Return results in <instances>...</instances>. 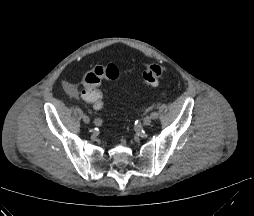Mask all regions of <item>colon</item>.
Listing matches in <instances>:
<instances>
[{"label":"colon","mask_w":254,"mask_h":216,"mask_svg":"<svg viewBox=\"0 0 254 216\" xmlns=\"http://www.w3.org/2000/svg\"><path fill=\"white\" fill-rule=\"evenodd\" d=\"M164 73V69L159 64L151 63L146 66L142 73L143 82L148 87H156ZM119 77V69L113 64L107 66H96L86 72L82 78L84 87L83 98L95 105L103 104V96L98 86L103 80L114 81Z\"/></svg>","instance_id":"colon-1"}]
</instances>
